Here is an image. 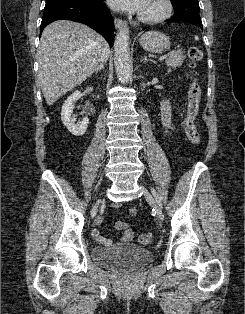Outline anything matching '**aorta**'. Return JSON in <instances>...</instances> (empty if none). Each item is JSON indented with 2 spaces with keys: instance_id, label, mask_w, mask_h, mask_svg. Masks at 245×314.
<instances>
[{
  "instance_id": "aorta-1",
  "label": "aorta",
  "mask_w": 245,
  "mask_h": 314,
  "mask_svg": "<svg viewBox=\"0 0 245 314\" xmlns=\"http://www.w3.org/2000/svg\"><path fill=\"white\" fill-rule=\"evenodd\" d=\"M114 63L117 77L121 83H128L131 73L129 54V29L123 25L114 41Z\"/></svg>"
}]
</instances>
